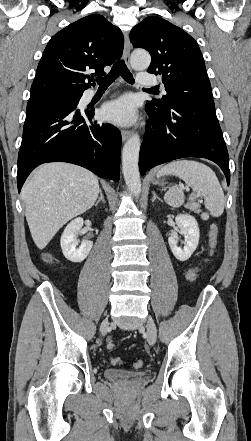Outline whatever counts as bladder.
<instances>
[{"label":"bladder","instance_id":"1","mask_svg":"<svg viewBox=\"0 0 251 441\" xmlns=\"http://www.w3.org/2000/svg\"><path fill=\"white\" fill-rule=\"evenodd\" d=\"M104 376L109 380H121L139 378L144 375L142 371H130L126 369L107 368L103 372Z\"/></svg>","mask_w":251,"mask_h":441}]
</instances>
